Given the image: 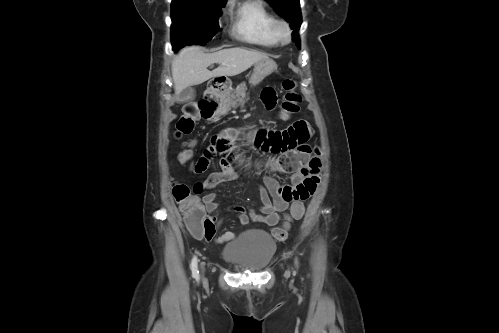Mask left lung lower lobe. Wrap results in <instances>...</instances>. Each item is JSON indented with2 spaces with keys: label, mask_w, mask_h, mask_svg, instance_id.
<instances>
[{
  "label": "left lung lower lobe",
  "mask_w": 499,
  "mask_h": 333,
  "mask_svg": "<svg viewBox=\"0 0 499 333\" xmlns=\"http://www.w3.org/2000/svg\"><path fill=\"white\" fill-rule=\"evenodd\" d=\"M293 40L296 42L297 44V41L299 40V38H297L296 36L293 38ZM300 41V40H299ZM298 47V46H297ZM299 48V47H298Z\"/></svg>",
  "instance_id": "1"
}]
</instances>
